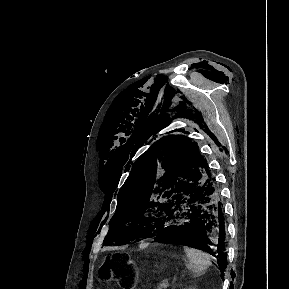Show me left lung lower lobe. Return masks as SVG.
I'll return each mask as SVG.
<instances>
[{
    "label": "left lung lower lobe",
    "instance_id": "left-lung-lower-lobe-1",
    "mask_svg": "<svg viewBox=\"0 0 289 289\" xmlns=\"http://www.w3.org/2000/svg\"><path fill=\"white\" fill-rule=\"evenodd\" d=\"M220 193L211 173L186 184L168 205L162 224L146 237H178L192 240L196 249L217 258L222 274L227 265L225 223Z\"/></svg>",
    "mask_w": 289,
    "mask_h": 289
}]
</instances>
